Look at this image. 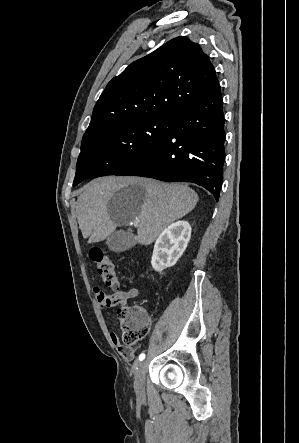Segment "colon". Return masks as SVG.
Here are the masks:
<instances>
[{
    "mask_svg": "<svg viewBox=\"0 0 299 443\" xmlns=\"http://www.w3.org/2000/svg\"><path fill=\"white\" fill-rule=\"evenodd\" d=\"M89 257L95 263L102 282L118 288L119 282L113 260L98 246L89 249ZM121 328V353L125 358L132 354L131 346L144 339L151 328V317L141 306H124L118 310Z\"/></svg>",
    "mask_w": 299,
    "mask_h": 443,
    "instance_id": "5ec220e1",
    "label": "colon"
}]
</instances>
